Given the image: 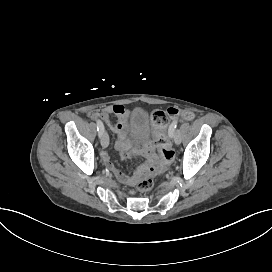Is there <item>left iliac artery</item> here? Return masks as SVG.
<instances>
[{
  "label": "left iliac artery",
  "instance_id": "1",
  "mask_svg": "<svg viewBox=\"0 0 272 272\" xmlns=\"http://www.w3.org/2000/svg\"><path fill=\"white\" fill-rule=\"evenodd\" d=\"M176 127H177V122H176V121L173 122V123H171V125L169 126L168 135H169L170 137H172V136L174 135V132H175V130H176Z\"/></svg>",
  "mask_w": 272,
  "mask_h": 272
}]
</instances>
